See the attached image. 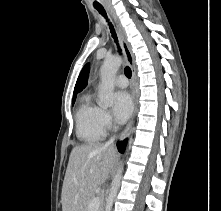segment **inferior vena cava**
Listing matches in <instances>:
<instances>
[{
	"instance_id": "obj_1",
	"label": "inferior vena cava",
	"mask_w": 221,
	"mask_h": 211,
	"mask_svg": "<svg viewBox=\"0 0 221 211\" xmlns=\"http://www.w3.org/2000/svg\"><path fill=\"white\" fill-rule=\"evenodd\" d=\"M117 128L115 127V130H116ZM113 141H114V137H112L105 145L106 146H109V147H113Z\"/></svg>"
}]
</instances>
